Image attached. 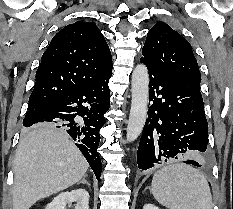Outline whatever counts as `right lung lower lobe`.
<instances>
[{
    "label": "right lung lower lobe",
    "mask_w": 233,
    "mask_h": 209,
    "mask_svg": "<svg viewBox=\"0 0 233 209\" xmlns=\"http://www.w3.org/2000/svg\"><path fill=\"white\" fill-rule=\"evenodd\" d=\"M112 73L81 89L46 102L23 120L25 127L53 123L66 131L80 149L97 179L101 176V159L97 152L99 131L105 124L104 114L110 107L108 82Z\"/></svg>",
    "instance_id": "98d812e1"
}]
</instances>
